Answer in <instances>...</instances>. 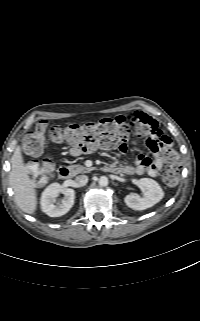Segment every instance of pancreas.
<instances>
[{
  "mask_svg": "<svg viewBox=\"0 0 200 321\" xmlns=\"http://www.w3.org/2000/svg\"><path fill=\"white\" fill-rule=\"evenodd\" d=\"M69 169L72 171L74 175L79 174V173H87L92 170V168H87L85 166L81 165H71L69 166Z\"/></svg>",
  "mask_w": 200,
  "mask_h": 321,
  "instance_id": "pancreas-1",
  "label": "pancreas"
}]
</instances>
